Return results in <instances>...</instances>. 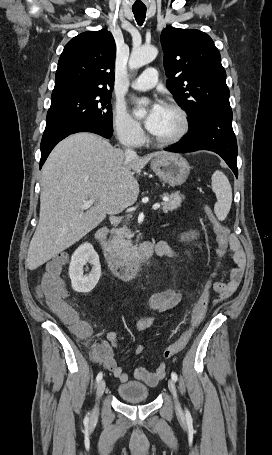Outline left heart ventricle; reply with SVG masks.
Here are the masks:
<instances>
[{
  "mask_svg": "<svg viewBox=\"0 0 272 455\" xmlns=\"http://www.w3.org/2000/svg\"><path fill=\"white\" fill-rule=\"evenodd\" d=\"M179 127L180 120L177 113L164 106L160 121L153 135L158 138H169L179 130Z\"/></svg>",
  "mask_w": 272,
  "mask_h": 455,
  "instance_id": "left-heart-ventricle-1",
  "label": "left heart ventricle"
}]
</instances>
